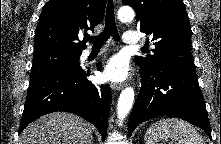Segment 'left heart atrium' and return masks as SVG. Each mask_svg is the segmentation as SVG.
Wrapping results in <instances>:
<instances>
[{"label": "left heart atrium", "mask_w": 221, "mask_h": 144, "mask_svg": "<svg viewBox=\"0 0 221 144\" xmlns=\"http://www.w3.org/2000/svg\"><path fill=\"white\" fill-rule=\"evenodd\" d=\"M129 76L128 61L122 56L111 58L105 65L103 77L105 80L120 82Z\"/></svg>", "instance_id": "1"}]
</instances>
